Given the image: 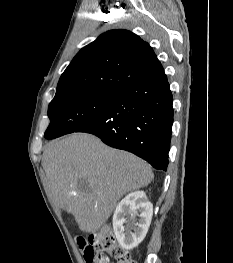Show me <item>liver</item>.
<instances>
[{"label": "liver", "instance_id": "1", "mask_svg": "<svg viewBox=\"0 0 233 263\" xmlns=\"http://www.w3.org/2000/svg\"><path fill=\"white\" fill-rule=\"evenodd\" d=\"M42 166L56 204L86 233L97 232L127 192L147 186L151 167L87 133L49 142Z\"/></svg>", "mask_w": 233, "mask_h": 263}]
</instances>
